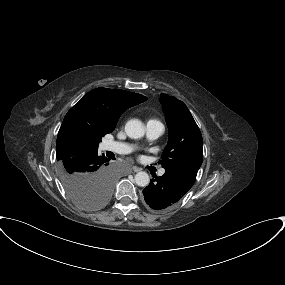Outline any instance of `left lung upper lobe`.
Returning a JSON list of instances; mask_svg holds the SVG:
<instances>
[{"mask_svg": "<svg viewBox=\"0 0 285 285\" xmlns=\"http://www.w3.org/2000/svg\"><path fill=\"white\" fill-rule=\"evenodd\" d=\"M160 102L169 129V140L160 164L165 172L192 187L203 161L201 132L182 101L161 94Z\"/></svg>", "mask_w": 285, "mask_h": 285, "instance_id": "left-lung-upper-lobe-1", "label": "left lung upper lobe"}]
</instances>
